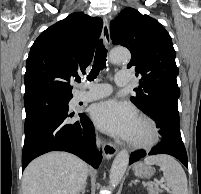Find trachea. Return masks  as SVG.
<instances>
[{
	"mask_svg": "<svg viewBox=\"0 0 201 194\" xmlns=\"http://www.w3.org/2000/svg\"><path fill=\"white\" fill-rule=\"evenodd\" d=\"M106 57H107V49L105 48L102 39L99 40L95 57H94V64L91 69V72L87 76L88 81H93L99 74L100 70L104 69L106 67ZM81 79L78 78L77 82H80Z\"/></svg>",
	"mask_w": 201,
	"mask_h": 194,
	"instance_id": "trachea-1",
	"label": "trachea"
}]
</instances>
